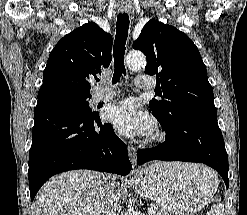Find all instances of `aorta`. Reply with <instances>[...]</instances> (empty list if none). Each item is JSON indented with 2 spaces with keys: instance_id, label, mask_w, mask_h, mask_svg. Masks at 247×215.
Returning <instances> with one entry per match:
<instances>
[{
  "instance_id": "1",
  "label": "aorta",
  "mask_w": 247,
  "mask_h": 215,
  "mask_svg": "<svg viewBox=\"0 0 247 215\" xmlns=\"http://www.w3.org/2000/svg\"><path fill=\"white\" fill-rule=\"evenodd\" d=\"M126 62L130 68L139 69L145 65L146 58L143 53L138 51H132L127 55Z\"/></svg>"
}]
</instances>
